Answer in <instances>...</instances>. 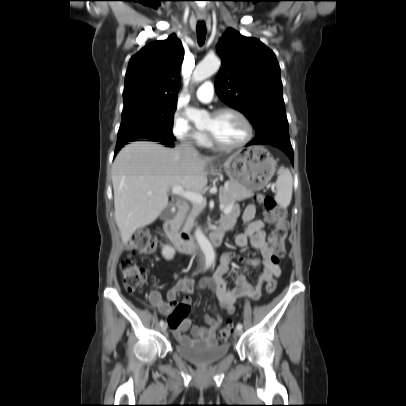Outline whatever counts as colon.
Masks as SVG:
<instances>
[{"label":"colon","mask_w":406,"mask_h":406,"mask_svg":"<svg viewBox=\"0 0 406 406\" xmlns=\"http://www.w3.org/2000/svg\"><path fill=\"white\" fill-rule=\"evenodd\" d=\"M256 203L262 205L265 209L266 220L274 226L269 237L271 245V261L278 265L283 254V247L287 237V212L284 208L276 205L271 196L258 194L255 196ZM129 248L131 256L125 258L120 265L122 282L124 288L129 292H134L144 284L148 278V271L145 267L137 264L132 256H141L154 253L158 248V242L148 229L141 228L136 230L129 239ZM277 287L276 279H270L266 284V292L271 294ZM190 308L178 305L171 316L169 324L175 326L179 324L189 314ZM233 331V324L227 323L218 331L220 341L227 340Z\"/></svg>","instance_id":"colon-1"}]
</instances>
